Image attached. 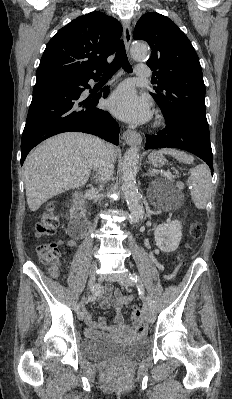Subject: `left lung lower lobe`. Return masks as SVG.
Returning a JSON list of instances; mask_svg holds the SVG:
<instances>
[{
    "instance_id": "1",
    "label": "left lung lower lobe",
    "mask_w": 232,
    "mask_h": 399,
    "mask_svg": "<svg viewBox=\"0 0 232 399\" xmlns=\"http://www.w3.org/2000/svg\"><path fill=\"white\" fill-rule=\"evenodd\" d=\"M166 127L156 135H146L145 149L178 148L189 151L203 159L213 174V158L210 136L179 121L165 118Z\"/></svg>"
}]
</instances>
